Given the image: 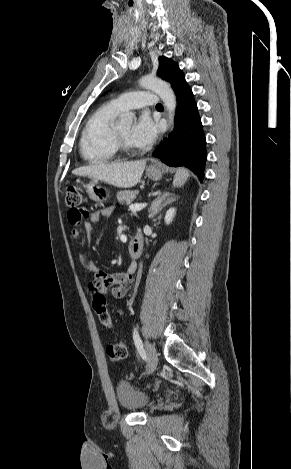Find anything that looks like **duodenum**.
<instances>
[{
	"label": "duodenum",
	"mask_w": 291,
	"mask_h": 469,
	"mask_svg": "<svg viewBox=\"0 0 291 469\" xmlns=\"http://www.w3.org/2000/svg\"><path fill=\"white\" fill-rule=\"evenodd\" d=\"M143 246V237L140 233H137L128 245V252L131 258L138 259L142 255Z\"/></svg>",
	"instance_id": "410a0bca"
}]
</instances>
